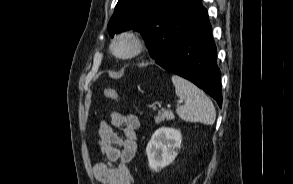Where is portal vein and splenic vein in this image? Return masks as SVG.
<instances>
[{"label":"portal vein and splenic vein","mask_w":293,"mask_h":184,"mask_svg":"<svg viewBox=\"0 0 293 184\" xmlns=\"http://www.w3.org/2000/svg\"><path fill=\"white\" fill-rule=\"evenodd\" d=\"M182 103V101H178V104H181Z\"/></svg>","instance_id":"18ae733b"}]
</instances>
